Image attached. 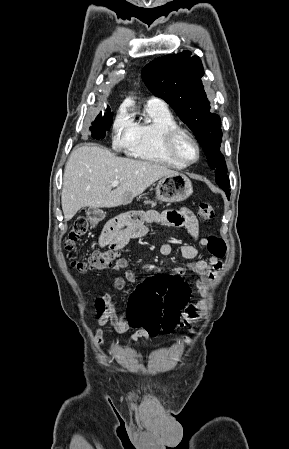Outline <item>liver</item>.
Returning <instances> with one entry per match:
<instances>
[{"label": "liver", "mask_w": 289, "mask_h": 449, "mask_svg": "<svg viewBox=\"0 0 289 449\" xmlns=\"http://www.w3.org/2000/svg\"><path fill=\"white\" fill-rule=\"evenodd\" d=\"M178 172L149 161L118 157L107 149L86 145L75 148L66 163L61 196L66 221L83 207L127 205L162 177ZM119 184L112 189L111 183Z\"/></svg>", "instance_id": "liver-1"}]
</instances>
